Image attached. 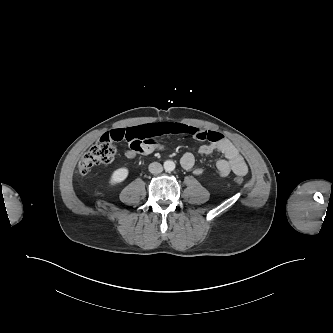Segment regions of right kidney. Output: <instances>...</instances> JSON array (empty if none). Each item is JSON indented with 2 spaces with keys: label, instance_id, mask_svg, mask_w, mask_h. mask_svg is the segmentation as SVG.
I'll return each instance as SVG.
<instances>
[{
  "label": "right kidney",
  "instance_id": "obj_1",
  "mask_svg": "<svg viewBox=\"0 0 333 333\" xmlns=\"http://www.w3.org/2000/svg\"><path fill=\"white\" fill-rule=\"evenodd\" d=\"M128 174L129 170L126 167L116 169L109 179V185L114 186L122 183L127 178Z\"/></svg>",
  "mask_w": 333,
  "mask_h": 333
}]
</instances>
